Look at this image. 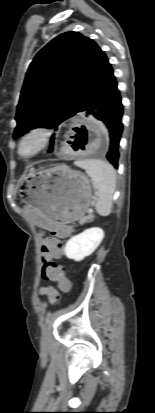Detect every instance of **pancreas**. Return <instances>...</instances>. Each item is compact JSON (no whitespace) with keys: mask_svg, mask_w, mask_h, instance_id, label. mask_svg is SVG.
<instances>
[{"mask_svg":"<svg viewBox=\"0 0 155 413\" xmlns=\"http://www.w3.org/2000/svg\"><path fill=\"white\" fill-rule=\"evenodd\" d=\"M93 218H94V217H93L92 215L87 216V217H83V218L79 221V223H80V224H84V223L87 222V221H92Z\"/></svg>","mask_w":155,"mask_h":413,"instance_id":"cf45deb5","label":"pancreas"}]
</instances>
